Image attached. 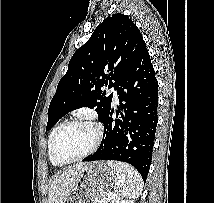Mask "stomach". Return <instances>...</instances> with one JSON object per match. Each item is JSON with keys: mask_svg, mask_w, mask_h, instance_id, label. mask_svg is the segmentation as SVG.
Here are the masks:
<instances>
[{"mask_svg": "<svg viewBox=\"0 0 214 203\" xmlns=\"http://www.w3.org/2000/svg\"><path fill=\"white\" fill-rule=\"evenodd\" d=\"M110 166L95 161L83 165L76 186L63 203H102L115 182Z\"/></svg>", "mask_w": 214, "mask_h": 203, "instance_id": "obj_1", "label": "stomach"}]
</instances>
